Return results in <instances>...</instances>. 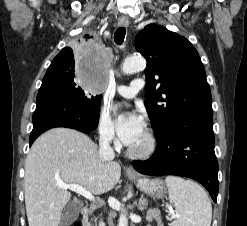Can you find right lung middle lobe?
Masks as SVG:
<instances>
[{
    "label": "right lung middle lobe",
    "instance_id": "dd1d6c3e",
    "mask_svg": "<svg viewBox=\"0 0 247 226\" xmlns=\"http://www.w3.org/2000/svg\"><path fill=\"white\" fill-rule=\"evenodd\" d=\"M74 65L75 61L72 52L70 56L56 61L54 66H49L46 74L57 77L88 105L94 109H100L102 95H95L90 92H84L81 87L78 86L75 77Z\"/></svg>",
    "mask_w": 247,
    "mask_h": 226
}]
</instances>
